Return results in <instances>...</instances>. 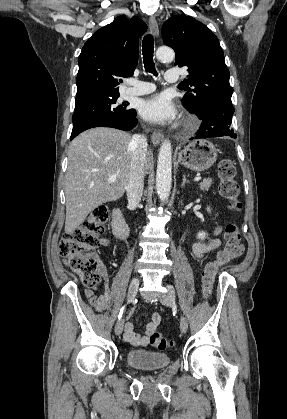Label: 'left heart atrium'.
Here are the masks:
<instances>
[{
  "label": "left heart atrium",
  "instance_id": "1",
  "mask_svg": "<svg viewBox=\"0 0 287 419\" xmlns=\"http://www.w3.org/2000/svg\"><path fill=\"white\" fill-rule=\"evenodd\" d=\"M139 111L144 119L151 122H165L175 116L173 103L165 94H157L144 100Z\"/></svg>",
  "mask_w": 287,
  "mask_h": 419
}]
</instances>
